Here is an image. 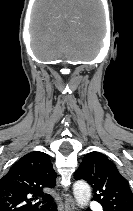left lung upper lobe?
<instances>
[{
    "instance_id": "1",
    "label": "left lung upper lobe",
    "mask_w": 133,
    "mask_h": 211,
    "mask_svg": "<svg viewBox=\"0 0 133 211\" xmlns=\"http://www.w3.org/2000/svg\"><path fill=\"white\" fill-rule=\"evenodd\" d=\"M74 178L84 179L92 186L93 200L99 202L104 211H133V193L128 182L104 154L88 153Z\"/></svg>"
}]
</instances>
